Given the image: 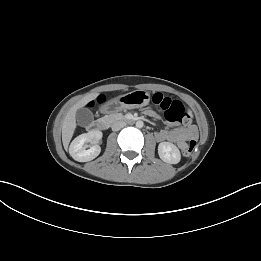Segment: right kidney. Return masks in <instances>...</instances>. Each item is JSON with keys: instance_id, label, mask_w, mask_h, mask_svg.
Instances as JSON below:
<instances>
[{"instance_id": "right-kidney-1", "label": "right kidney", "mask_w": 261, "mask_h": 261, "mask_svg": "<svg viewBox=\"0 0 261 261\" xmlns=\"http://www.w3.org/2000/svg\"><path fill=\"white\" fill-rule=\"evenodd\" d=\"M102 132L98 130H92L88 133L77 136L69 147V153L72 158L78 162H88L96 158L100 152L101 147L97 144L90 146L87 149L86 142H95L100 140Z\"/></svg>"}]
</instances>
